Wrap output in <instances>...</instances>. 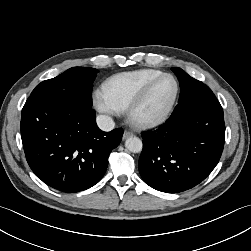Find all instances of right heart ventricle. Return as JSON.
Masks as SVG:
<instances>
[{
  "instance_id": "right-heart-ventricle-1",
  "label": "right heart ventricle",
  "mask_w": 251,
  "mask_h": 251,
  "mask_svg": "<svg viewBox=\"0 0 251 251\" xmlns=\"http://www.w3.org/2000/svg\"><path fill=\"white\" fill-rule=\"evenodd\" d=\"M163 74L157 69H140L115 74L103 84V90L121 110L128 109L131 102L153 78Z\"/></svg>"
}]
</instances>
